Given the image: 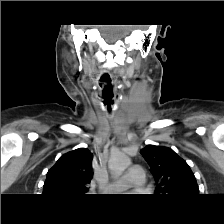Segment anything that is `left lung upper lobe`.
Instances as JSON below:
<instances>
[{
	"label": "left lung upper lobe",
	"instance_id": "obj_1",
	"mask_svg": "<svg viewBox=\"0 0 224 224\" xmlns=\"http://www.w3.org/2000/svg\"><path fill=\"white\" fill-rule=\"evenodd\" d=\"M140 153L157 182L156 196L171 198L199 195L196 178L189 165L171 148L147 145Z\"/></svg>",
	"mask_w": 224,
	"mask_h": 224
}]
</instances>
